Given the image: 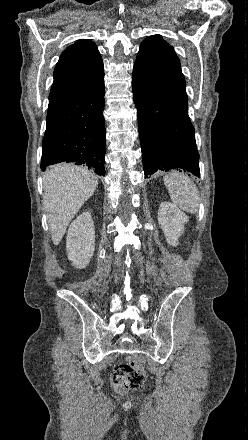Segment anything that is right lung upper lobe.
Segmentation results:
<instances>
[{"instance_id":"right-lung-upper-lobe-1","label":"right lung upper lobe","mask_w":248,"mask_h":440,"mask_svg":"<svg viewBox=\"0 0 248 440\" xmlns=\"http://www.w3.org/2000/svg\"><path fill=\"white\" fill-rule=\"evenodd\" d=\"M104 80V68L97 46L80 39L61 54L54 70L49 100L92 89Z\"/></svg>"}]
</instances>
